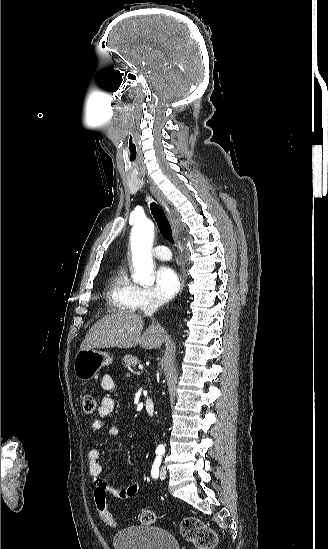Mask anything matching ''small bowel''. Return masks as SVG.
<instances>
[{"instance_id": "1", "label": "small bowel", "mask_w": 328, "mask_h": 549, "mask_svg": "<svg viewBox=\"0 0 328 549\" xmlns=\"http://www.w3.org/2000/svg\"><path fill=\"white\" fill-rule=\"evenodd\" d=\"M101 386L106 391H111L115 388V381L110 375H104L101 379ZM115 408V401L110 396L102 398L100 406L98 408V416L92 420L91 429L93 431H99L103 427L104 418L112 414ZM110 437L117 441L116 446L119 448L121 445L118 442L119 429L117 427H111L108 430ZM87 468L88 474L93 481V484L102 485L106 492L121 500H128L137 495L140 485L137 482L131 483L124 488H117L108 484L102 477V465L100 463V451L96 448L91 449L87 454Z\"/></svg>"}]
</instances>
